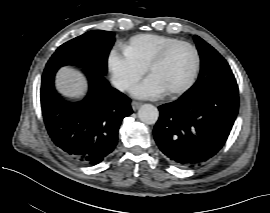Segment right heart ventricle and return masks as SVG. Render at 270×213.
Listing matches in <instances>:
<instances>
[{
  "label": "right heart ventricle",
  "instance_id": "1",
  "mask_svg": "<svg viewBox=\"0 0 270 213\" xmlns=\"http://www.w3.org/2000/svg\"><path fill=\"white\" fill-rule=\"evenodd\" d=\"M181 40L156 34H144L133 38L125 47L127 56L134 62L148 67L149 63L160 52Z\"/></svg>",
  "mask_w": 270,
  "mask_h": 213
}]
</instances>
